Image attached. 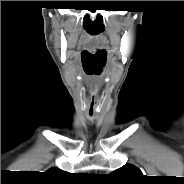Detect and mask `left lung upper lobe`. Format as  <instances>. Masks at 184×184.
<instances>
[{"label": "left lung upper lobe", "instance_id": "1", "mask_svg": "<svg viewBox=\"0 0 184 184\" xmlns=\"http://www.w3.org/2000/svg\"><path fill=\"white\" fill-rule=\"evenodd\" d=\"M121 183L133 184L141 180L143 174L141 171L130 164L124 165L112 173Z\"/></svg>", "mask_w": 184, "mask_h": 184}]
</instances>
